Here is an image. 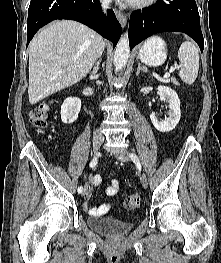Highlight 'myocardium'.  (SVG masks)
<instances>
[{
    "instance_id": "myocardium-1",
    "label": "myocardium",
    "mask_w": 221,
    "mask_h": 263,
    "mask_svg": "<svg viewBox=\"0 0 221 263\" xmlns=\"http://www.w3.org/2000/svg\"><path fill=\"white\" fill-rule=\"evenodd\" d=\"M157 0H134L133 6L138 9L148 8L156 3Z\"/></svg>"
}]
</instances>
